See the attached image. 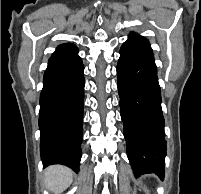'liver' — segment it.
I'll list each match as a JSON object with an SVG mask.
<instances>
[{
    "label": "liver",
    "instance_id": "obj_1",
    "mask_svg": "<svg viewBox=\"0 0 201 194\" xmlns=\"http://www.w3.org/2000/svg\"><path fill=\"white\" fill-rule=\"evenodd\" d=\"M73 172L67 167L53 165L45 170V185L55 194L62 193L72 183Z\"/></svg>",
    "mask_w": 201,
    "mask_h": 194
}]
</instances>
